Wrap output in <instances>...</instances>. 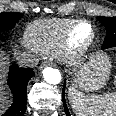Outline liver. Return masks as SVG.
Returning <instances> with one entry per match:
<instances>
[{"instance_id": "1", "label": "liver", "mask_w": 116, "mask_h": 116, "mask_svg": "<svg viewBox=\"0 0 116 116\" xmlns=\"http://www.w3.org/2000/svg\"><path fill=\"white\" fill-rule=\"evenodd\" d=\"M6 62L3 60V57L0 54V79L3 77V72L5 71ZM2 80H0V108L4 106L3 102H5V97L2 96Z\"/></svg>"}]
</instances>
